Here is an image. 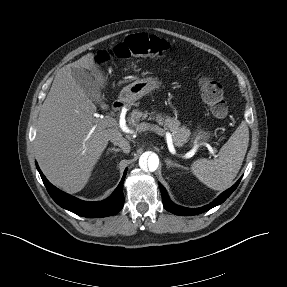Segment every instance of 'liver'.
Returning a JSON list of instances; mask_svg holds the SVG:
<instances>
[{
    "label": "liver",
    "instance_id": "1",
    "mask_svg": "<svg viewBox=\"0 0 287 287\" xmlns=\"http://www.w3.org/2000/svg\"><path fill=\"white\" fill-rule=\"evenodd\" d=\"M72 68L91 70L98 86H104L105 77L92 53L63 66L40 110L35 138L42 172L52 184L71 194L85 187L108 141L122 137L116 127L94 125L97 108L76 83Z\"/></svg>",
    "mask_w": 287,
    "mask_h": 287
}]
</instances>
